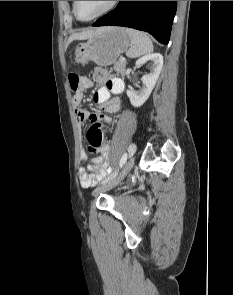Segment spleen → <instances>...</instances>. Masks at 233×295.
<instances>
[{
    "mask_svg": "<svg viewBox=\"0 0 233 295\" xmlns=\"http://www.w3.org/2000/svg\"><path fill=\"white\" fill-rule=\"evenodd\" d=\"M126 32L132 43V46L126 52L128 57L136 58L153 51L152 41L146 33L132 28H126Z\"/></svg>",
    "mask_w": 233,
    "mask_h": 295,
    "instance_id": "3e777b00",
    "label": "spleen"
}]
</instances>
